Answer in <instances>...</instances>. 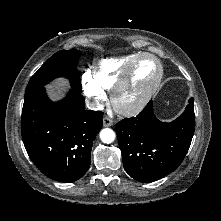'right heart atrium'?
Listing matches in <instances>:
<instances>
[{"label": "right heart atrium", "instance_id": "right-heart-atrium-1", "mask_svg": "<svg viewBox=\"0 0 221 221\" xmlns=\"http://www.w3.org/2000/svg\"><path fill=\"white\" fill-rule=\"evenodd\" d=\"M82 86L87 99L94 106H99L106 98L104 89L95 81L90 72H85L82 76Z\"/></svg>", "mask_w": 221, "mask_h": 221}]
</instances>
